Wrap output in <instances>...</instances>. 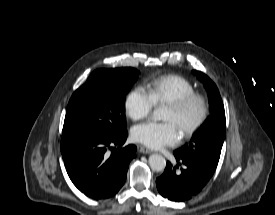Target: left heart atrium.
<instances>
[{
    "label": "left heart atrium",
    "instance_id": "left-heart-atrium-1",
    "mask_svg": "<svg viewBox=\"0 0 275 215\" xmlns=\"http://www.w3.org/2000/svg\"><path fill=\"white\" fill-rule=\"evenodd\" d=\"M132 138L147 147L161 148L166 145H174L179 140V130L171 121H148L133 127Z\"/></svg>",
    "mask_w": 275,
    "mask_h": 215
}]
</instances>
